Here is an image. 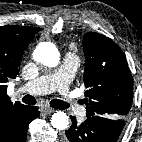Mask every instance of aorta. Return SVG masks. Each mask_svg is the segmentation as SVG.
Here are the masks:
<instances>
[{"instance_id": "aorta-1", "label": "aorta", "mask_w": 142, "mask_h": 142, "mask_svg": "<svg viewBox=\"0 0 142 142\" xmlns=\"http://www.w3.org/2000/svg\"><path fill=\"white\" fill-rule=\"evenodd\" d=\"M34 59L46 68H54L59 62L60 55L53 43L42 42L34 51ZM51 124L57 130H65L69 124V117L64 112H56L51 117Z\"/></svg>"}]
</instances>
